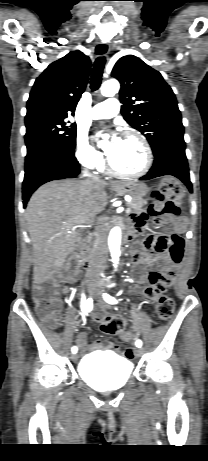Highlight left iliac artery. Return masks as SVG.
<instances>
[{
	"label": "left iliac artery",
	"mask_w": 208,
	"mask_h": 461,
	"mask_svg": "<svg viewBox=\"0 0 208 461\" xmlns=\"http://www.w3.org/2000/svg\"><path fill=\"white\" fill-rule=\"evenodd\" d=\"M103 298L109 304H117V300L114 297L108 295L107 293L103 294ZM135 344H136L137 347H141L142 346V341L137 340Z\"/></svg>",
	"instance_id": "1"
}]
</instances>
